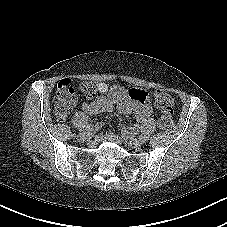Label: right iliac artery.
<instances>
[{
  "mask_svg": "<svg viewBox=\"0 0 227 227\" xmlns=\"http://www.w3.org/2000/svg\"><path fill=\"white\" fill-rule=\"evenodd\" d=\"M90 126V127H89ZM102 127V122H97L96 125H81L80 129L81 130H90V131H95L98 130L99 128Z\"/></svg>",
  "mask_w": 227,
  "mask_h": 227,
  "instance_id": "82829eb1",
  "label": "right iliac artery"
}]
</instances>
